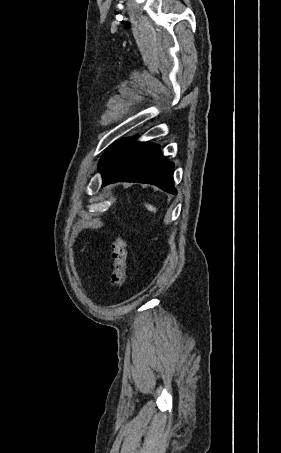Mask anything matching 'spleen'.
<instances>
[{"label":"spleen","mask_w":281,"mask_h":453,"mask_svg":"<svg viewBox=\"0 0 281 453\" xmlns=\"http://www.w3.org/2000/svg\"><path fill=\"white\" fill-rule=\"evenodd\" d=\"M145 206L146 208H148V210H152V212H156L157 208H155V206H153V204H148V202H145Z\"/></svg>","instance_id":"3e777b00"}]
</instances>
